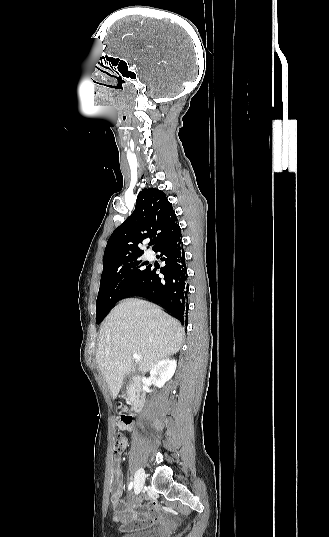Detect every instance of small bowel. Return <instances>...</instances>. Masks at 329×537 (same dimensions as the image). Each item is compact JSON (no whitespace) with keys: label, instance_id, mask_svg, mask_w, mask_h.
Returning a JSON list of instances; mask_svg holds the SVG:
<instances>
[{"label":"small bowel","instance_id":"1","mask_svg":"<svg viewBox=\"0 0 329 537\" xmlns=\"http://www.w3.org/2000/svg\"><path fill=\"white\" fill-rule=\"evenodd\" d=\"M117 426L120 429L127 431L132 430L131 424H124L118 422ZM116 473L113 478V488L110 496V504L113 510V518L117 521H121L124 531H133L145 528L153 522L161 519V512L159 504L156 500H150L147 503L135 502L128 504L122 500L123 494V482L119 473V467L121 459L119 456H115L113 460ZM125 510L124 515H120L119 512Z\"/></svg>","mask_w":329,"mask_h":537}]
</instances>
